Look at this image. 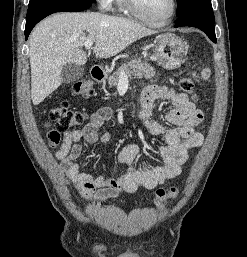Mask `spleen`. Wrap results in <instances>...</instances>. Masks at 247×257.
Here are the masks:
<instances>
[{
	"instance_id": "3e777b00",
	"label": "spleen",
	"mask_w": 247,
	"mask_h": 257,
	"mask_svg": "<svg viewBox=\"0 0 247 257\" xmlns=\"http://www.w3.org/2000/svg\"><path fill=\"white\" fill-rule=\"evenodd\" d=\"M202 77L204 78V79H208L209 77H210V70L209 69H204L203 71H202Z\"/></svg>"
}]
</instances>
